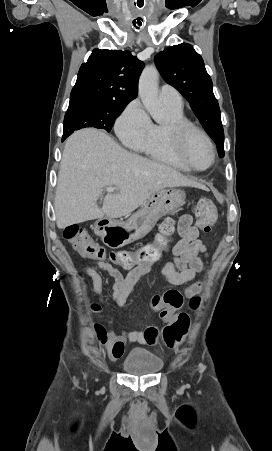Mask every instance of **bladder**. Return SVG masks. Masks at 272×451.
I'll use <instances>...</instances> for the list:
<instances>
[{
    "label": "bladder",
    "instance_id": "obj_1",
    "mask_svg": "<svg viewBox=\"0 0 272 451\" xmlns=\"http://www.w3.org/2000/svg\"><path fill=\"white\" fill-rule=\"evenodd\" d=\"M163 367V361L147 348L134 347L123 361V370L127 375H153Z\"/></svg>",
    "mask_w": 272,
    "mask_h": 451
}]
</instances>
